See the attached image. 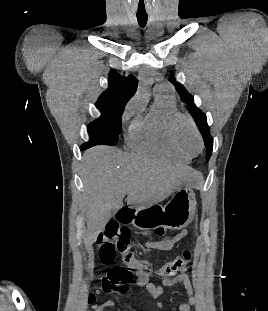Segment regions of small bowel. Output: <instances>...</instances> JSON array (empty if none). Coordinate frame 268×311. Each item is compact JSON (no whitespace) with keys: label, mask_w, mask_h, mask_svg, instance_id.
Wrapping results in <instances>:
<instances>
[{"label":"small bowel","mask_w":268,"mask_h":311,"mask_svg":"<svg viewBox=\"0 0 268 311\" xmlns=\"http://www.w3.org/2000/svg\"><path fill=\"white\" fill-rule=\"evenodd\" d=\"M155 233L157 235H162L164 230L162 228H156ZM187 235L186 230H182L176 234L163 236L158 240H148L140 244L139 250L143 252L145 249H153L160 251H168L171 250L176 243L181 241ZM131 268L134 272L135 285L139 287H144L151 297L157 299L163 293L164 286H173L175 284H182L188 295V302L181 303L178 307L179 311H192V308L196 304V295L193 288V284L189 278V276L185 272H180L179 274L171 277V278H163L161 285H155L149 282V275L145 271H143L137 263L131 265ZM113 306L112 301H108L99 307H97L96 311H106L108 308Z\"/></svg>","instance_id":"1"}]
</instances>
